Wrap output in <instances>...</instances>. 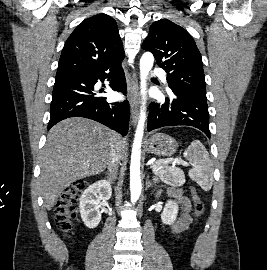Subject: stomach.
<instances>
[{
	"mask_svg": "<svg viewBox=\"0 0 267 270\" xmlns=\"http://www.w3.org/2000/svg\"><path fill=\"white\" fill-rule=\"evenodd\" d=\"M146 151L159 156H171L178 148V142L164 133H156L146 141Z\"/></svg>",
	"mask_w": 267,
	"mask_h": 270,
	"instance_id": "obj_1",
	"label": "stomach"
}]
</instances>
